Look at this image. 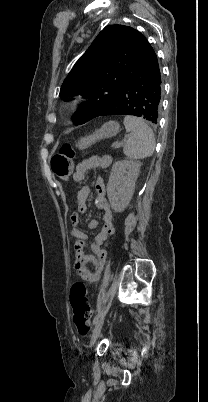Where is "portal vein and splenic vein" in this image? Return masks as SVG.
<instances>
[{
  "label": "portal vein and splenic vein",
  "mask_w": 208,
  "mask_h": 402,
  "mask_svg": "<svg viewBox=\"0 0 208 402\" xmlns=\"http://www.w3.org/2000/svg\"><path fill=\"white\" fill-rule=\"evenodd\" d=\"M123 142H115V144L113 145L114 149H119L120 146H122Z\"/></svg>",
  "instance_id": "1"
}]
</instances>
